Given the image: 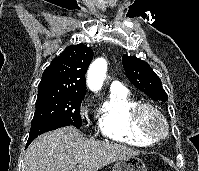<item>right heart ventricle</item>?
<instances>
[{
    "instance_id": "obj_1",
    "label": "right heart ventricle",
    "mask_w": 199,
    "mask_h": 171,
    "mask_svg": "<svg viewBox=\"0 0 199 171\" xmlns=\"http://www.w3.org/2000/svg\"><path fill=\"white\" fill-rule=\"evenodd\" d=\"M140 103L126 88L110 89L97 116V126L101 135L134 146L154 145L156 140L141 133L136 126L134 113Z\"/></svg>"
}]
</instances>
